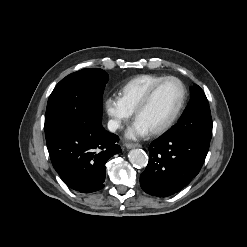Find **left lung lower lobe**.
I'll return each instance as SVG.
<instances>
[{
    "mask_svg": "<svg viewBox=\"0 0 247 247\" xmlns=\"http://www.w3.org/2000/svg\"><path fill=\"white\" fill-rule=\"evenodd\" d=\"M211 138L167 131L149 147V162L140 175L148 193L166 197L180 191L200 171Z\"/></svg>",
    "mask_w": 247,
    "mask_h": 247,
    "instance_id": "obj_1",
    "label": "left lung lower lobe"
}]
</instances>
